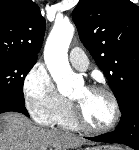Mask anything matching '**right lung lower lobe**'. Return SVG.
Returning a JSON list of instances; mask_svg holds the SVG:
<instances>
[{
  "instance_id": "right-lung-lower-lobe-1",
  "label": "right lung lower lobe",
  "mask_w": 139,
  "mask_h": 150,
  "mask_svg": "<svg viewBox=\"0 0 139 150\" xmlns=\"http://www.w3.org/2000/svg\"><path fill=\"white\" fill-rule=\"evenodd\" d=\"M10 111L19 112L29 116L28 111L24 106V101H20L9 96L0 95V113Z\"/></svg>"
}]
</instances>
